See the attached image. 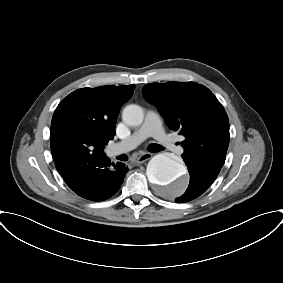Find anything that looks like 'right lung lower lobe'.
Returning a JSON list of instances; mask_svg holds the SVG:
<instances>
[{"mask_svg":"<svg viewBox=\"0 0 283 283\" xmlns=\"http://www.w3.org/2000/svg\"><path fill=\"white\" fill-rule=\"evenodd\" d=\"M128 168L124 163H111L105 154L77 165L62 174L66 184L79 196L106 200L121 187Z\"/></svg>","mask_w":283,"mask_h":283,"instance_id":"right-lung-lower-lobe-1","label":"right lung lower lobe"}]
</instances>
